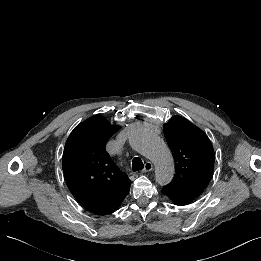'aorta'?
<instances>
[{
	"mask_svg": "<svg viewBox=\"0 0 261 261\" xmlns=\"http://www.w3.org/2000/svg\"><path fill=\"white\" fill-rule=\"evenodd\" d=\"M131 147L150 159L155 165V178L158 184H168L174 175V162L165 142L153 132L135 127L129 132Z\"/></svg>",
	"mask_w": 261,
	"mask_h": 261,
	"instance_id": "aorta-1",
	"label": "aorta"
}]
</instances>
